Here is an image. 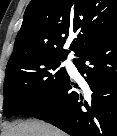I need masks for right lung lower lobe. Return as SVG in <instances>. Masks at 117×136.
<instances>
[{
	"mask_svg": "<svg viewBox=\"0 0 117 136\" xmlns=\"http://www.w3.org/2000/svg\"><path fill=\"white\" fill-rule=\"evenodd\" d=\"M73 63L85 85L67 76L15 115L38 118L71 136H117V33L88 48Z\"/></svg>",
	"mask_w": 117,
	"mask_h": 136,
	"instance_id": "1",
	"label": "right lung lower lobe"
}]
</instances>
